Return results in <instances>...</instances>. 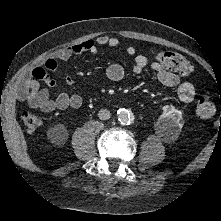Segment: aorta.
Returning a JSON list of instances; mask_svg holds the SVG:
<instances>
[{
  "mask_svg": "<svg viewBox=\"0 0 221 221\" xmlns=\"http://www.w3.org/2000/svg\"><path fill=\"white\" fill-rule=\"evenodd\" d=\"M117 117L120 123L122 124H130L133 121V114L124 108H120L117 111Z\"/></svg>",
  "mask_w": 221,
  "mask_h": 221,
  "instance_id": "aorta-1",
  "label": "aorta"
}]
</instances>
